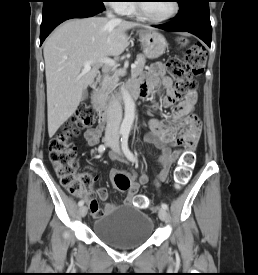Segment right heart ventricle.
Listing matches in <instances>:
<instances>
[{"instance_id":"right-heart-ventricle-1","label":"right heart ventricle","mask_w":258,"mask_h":275,"mask_svg":"<svg viewBox=\"0 0 258 275\" xmlns=\"http://www.w3.org/2000/svg\"><path fill=\"white\" fill-rule=\"evenodd\" d=\"M126 15H129V16H134V15H137V11L135 9V6L134 4L132 3H128L125 7H124V11L122 12Z\"/></svg>"}]
</instances>
